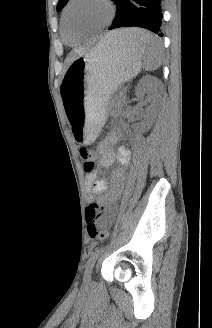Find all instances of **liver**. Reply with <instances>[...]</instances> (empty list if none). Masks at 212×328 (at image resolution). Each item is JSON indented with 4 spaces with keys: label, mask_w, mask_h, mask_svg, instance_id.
Returning a JSON list of instances; mask_svg holds the SVG:
<instances>
[{
    "label": "liver",
    "mask_w": 212,
    "mask_h": 328,
    "mask_svg": "<svg viewBox=\"0 0 212 328\" xmlns=\"http://www.w3.org/2000/svg\"><path fill=\"white\" fill-rule=\"evenodd\" d=\"M109 35H121V36H123L124 41H126V40H128L129 35H130V29H124V30L114 31V32L108 33L105 36H109ZM85 53H86V50H84V49H81V48H75V49H73L71 51V53H70V57L68 59V63L71 64L77 57H79V56H81V55H83Z\"/></svg>",
    "instance_id": "1"
}]
</instances>
